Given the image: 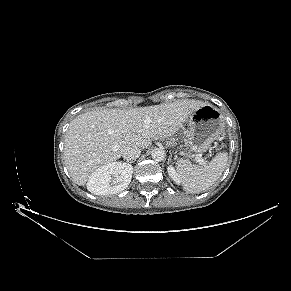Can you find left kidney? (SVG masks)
Wrapping results in <instances>:
<instances>
[{"label":"left kidney","mask_w":291,"mask_h":291,"mask_svg":"<svg viewBox=\"0 0 291 291\" xmlns=\"http://www.w3.org/2000/svg\"><path fill=\"white\" fill-rule=\"evenodd\" d=\"M167 172H168V175L169 177L176 183V184H180L181 180H180V177L178 175V173L176 172L175 168L170 165L168 166L167 168Z\"/></svg>","instance_id":"left-kidney-1"}]
</instances>
